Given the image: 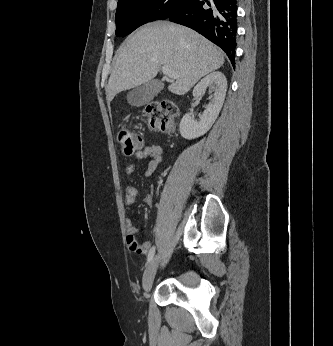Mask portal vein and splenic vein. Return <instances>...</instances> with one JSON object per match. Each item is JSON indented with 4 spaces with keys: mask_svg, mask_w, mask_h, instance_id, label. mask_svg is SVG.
Segmentation results:
<instances>
[{
    "mask_svg": "<svg viewBox=\"0 0 333 346\" xmlns=\"http://www.w3.org/2000/svg\"><path fill=\"white\" fill-rule=\"evenodd\" d=\"M162 72L165 76L170 77L172 79H176L178 77L177 73L171 67L168 66H163Z\"/></svg>",
    "mask_w": 333,
    "mask_h": 346,
    "instance_id": "obj_1",
    "label": "portal vein and splenic vein"
}]
</instances>
